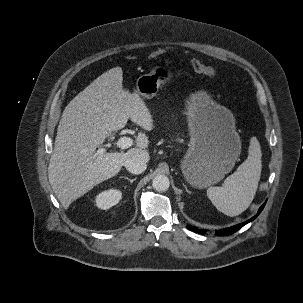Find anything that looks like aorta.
Returning a JSON list of instances; mask_svg holds the SVG:
<instances>
[{
	"mask_svg": "<svg viewBox=\"0 0 303 303\" xmlns=\"http://www.w3.org/2000/svg\"><path fill=\"white\" fill-rule=\"evenodd\" d=\"M153 188L158 192H164L168 190L170 186L169 178L166 175H157L153 178L152 181Z\"/></svg>",
	"mask_w": 303,
	"mask_h": 303,
	"instance_id": "762f6f07",
	"label": "aorta"
}]
</instances>
